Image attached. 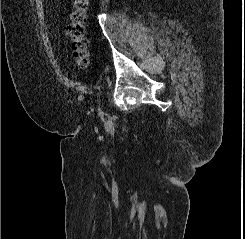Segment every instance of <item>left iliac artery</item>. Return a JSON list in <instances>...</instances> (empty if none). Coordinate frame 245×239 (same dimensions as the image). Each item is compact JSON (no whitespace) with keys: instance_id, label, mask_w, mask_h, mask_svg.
<instances>
[{"instance_id":"44dca946","label":"left iliac artery","mask_w":245,"mask_h":239,"mask_svg":"<svg viewBox=\"0 0 245 239\" xmlns=\"http://www.w3.org/2000/svg\"><path fill=\"white\" fill-rule=\"evenodd\" d=\"M99 90H100V87H99ZM100 95H101V91L99 92V97H100Z\"/></svg>"}]
</instances>
